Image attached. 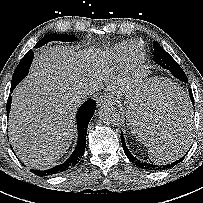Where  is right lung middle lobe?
I'll list each match as a JSON object with an SVG mask.
<instances>
[{
    "mask_svg": "<svg viewBox=\"0 0 203 203\" xmlns=\"http://www.w3.org/2000/svg\"><path fill=\"white\" fill-rule=\"evenodd\" d=\"M77 38L71 35H58V34H49L46 37L42 38L35 45V48H38L50 41H62V42H74ZM31 64H26L24 61H20L19 65L14 71L11 86L15 87L25 76H27Z\"/></svg>",
    "mask_w": 203,
    "mask_h": 203,
    "instance_id": "right-lung-middle-lobe-1",
    "label": "right lung middle lobe"
}]
</instances>
